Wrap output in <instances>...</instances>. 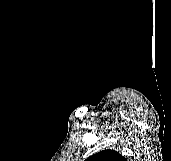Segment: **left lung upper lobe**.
I'll return each mask as SVG.
<instances>
[{
	"instance_id": "left-lung-upper-lobe-1",
	"label": "left lung upper lobe",
	"mask_w": 171,
	"mask_h": 161,
	"mask_svg": "<svg viewBox=\"0 0 171 161\" xmlns=\"http://www.w3.org/2000/svg\"><path fill=\"white\" fill-rule=\"evenodd\" d=\"M85 161H126V158L115 150H103L90 156Z\"/></svg>"
}]
</instances>
